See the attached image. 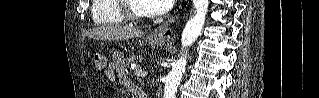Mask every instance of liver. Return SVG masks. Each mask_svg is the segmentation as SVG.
Returning <instances> with one entry per match:
<instances>
[{
  "mask_svg": "<svg viewBox=\"0 0 319 98\" xmlns=\"http://www.w3.org/2000/svg\"><path fill=\"white\" fill-rule=\"evenodd\" d=\"M143 35V32L139 29L131 27H123L119 25H107L100 26L89 30L85 33V36L93 38L95 40H125Z\"/></svg>",
  "mask_w": 319,
  "mask_h": 98,
  "instance_id": "obj_1",
  "label": "liver"
}]
</instances>
